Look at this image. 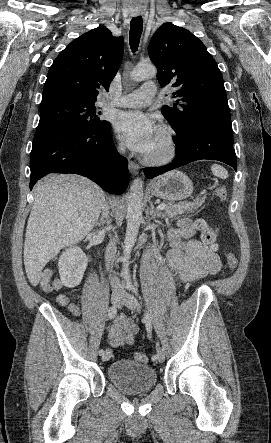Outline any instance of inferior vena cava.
I'll return each instance as SVG.
<instances>
[{
  "instance_id": "1",
  "label": "inferior vena cava",
  "mask_w": 271,
  "mask_h": 443,
  "mask_svg": "<svg viewBox=\"0 0 271 443\" xmlns=\"http://www.w3.org/2000/svg\"><path fill=\"white\" fill-rule=\"evenodd\" d=\"M118 150H119V152H122V154H123V152H125V150H126L125 144H119ZM102 210H103L102 218H106V220H108L109 212H108L107 204H104ZM115 251H116V247H115V241L113 239V241H109L108 247H107L106 265H107L108 269L111 265L112 257H114L113 253H115ZM110 285H113V287H114L113 288L114 296H123L124 290H122V288H119V286H118L119 285L118 277H111Z\"/></svg>"
}]
</instances>
